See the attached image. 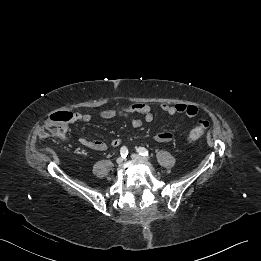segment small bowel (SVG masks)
<instances>
[{
  "instance_id": "c3829d8e",
  "label": "small bowel",
  "mask_w": 261,
  "mask_h": 261,
  "mask_svg": "<svg viewBox=\"0 0 261 261\" xmlns=\"http://www.w3.org/2000/svg\"><path fill=\"white\" fill-rule=\"evenodd\" d=\"M161 110L168 115L184 114L187 117H195L198 113V109L194 105L187 104H162ZM134 114H138L141 118L134 117ZM102 119L108 120L115 117H120L129 120L133 127H140L144 122H151L154 118L151 107L147 104L137 103L120 109H109L100 113ZM92 116L89 113H73L72 122H89ZM59 137L63 140L69 139V128L65 126ZM153 139L158 142L169 143L174 140V135L169 131H155L153 133ZM79 143L89 149L105 150L107 148L106 143L101 140L88 139L85 137L79 138ZM122 143L120 138H114L111 140L110 145L112 147H118Z\"/></svg>"
}]
</instances>
